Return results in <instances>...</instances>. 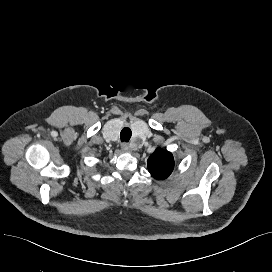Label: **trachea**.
<instances>
[{"label":"trachea","mask_w":272,"mask_h":272,"mask_svg":"<svg viewBox=\"0 0 272 272\" xmlns=\"http://www.w3.org/2000/svg\"><path fill=\"white\" fill-rule=\"evenodd\" d=\"M132 132L130 130V128L125 127L122 129L121 133H120V139L122 142H128L131 138Z\"/></svg>","instance_id":"1"}]
</instances>
